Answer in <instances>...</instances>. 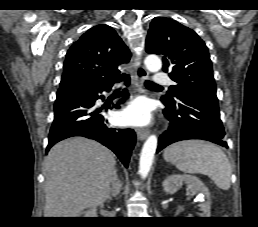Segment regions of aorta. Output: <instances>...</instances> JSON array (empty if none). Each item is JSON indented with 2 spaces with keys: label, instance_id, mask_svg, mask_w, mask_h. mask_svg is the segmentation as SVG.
<instances>
[{
  "label": "aorta",
  "instance_id": "762f6f07",
  "mask_svg": "<svg viewBox=\"0 0 258 227\" xmlns=\"http://www.w3.org/2000/svg\"><path fill=\"white\" fill-rule=\"evenodd\" d=\"M145 66L150 72H157L161 69V60L156 55H149L145 58ZM157 149V137L150 135L145 141L139 161V174L142 178H146L154 159V154Z\"/></svg>",
  "mask_w": 258,
  "mask_h": 227
}]
</instances>
